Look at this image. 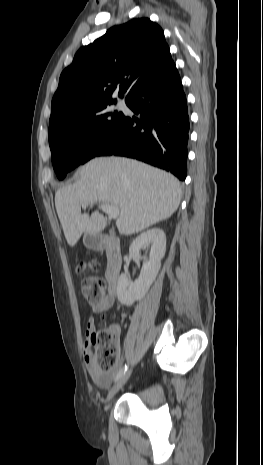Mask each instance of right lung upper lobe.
<instances>
[{
  "instance_id": "obj_1",
  "label": "right lung upper lobe",
  "mask_w": 263,
  "mask_h": 465,
  "mask_svg": "<svg viewBox=\"0 0 263 465\" xmlns=\"http://www.w3.org/2000/svg\"><path fill=\"white\" fill-rule=\"evenodd\" d=\"M174 66L158 24L138 18L114 26L80 48L61 73L49 123L75 109L112 100L115 95L128 99Z\"/></svg>"
}]
</instances>
